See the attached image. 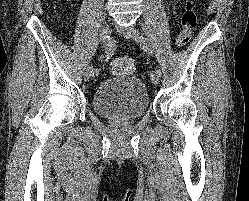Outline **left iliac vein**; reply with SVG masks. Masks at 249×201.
<instances>
[{
	"instance_id": "4c4485c4",
	"label": "left iliac vein",
	"mask_w": 249,
	"mask_h": 201,
	"mask_svg": "<svg viewBox=\"0 0 249 201\" xmlns=\"http://www.w3.org/2000/svg\"><path fill=\"white\" fill-rule=\"evenodd\" d=\"M127 37L133 41H136V42H139V38H140V33L139 31L134 28V27H131L129 29V32L127 34ZM150 77H151V81L157 85L159 83V80H160V76L157 74L156 71H152L151 74H150Z\"/></svg>"
}]
</instances>
